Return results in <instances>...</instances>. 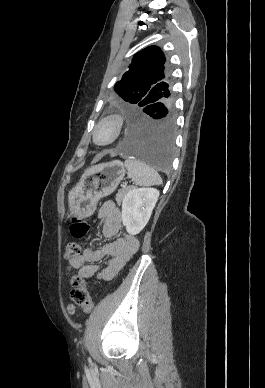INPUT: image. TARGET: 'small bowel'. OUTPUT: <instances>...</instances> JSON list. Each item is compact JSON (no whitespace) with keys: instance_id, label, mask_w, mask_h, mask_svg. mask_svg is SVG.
Instances as JSON below:
<instances>
[{"instance_id":"c3829d8e","label":"small bowel","mask_w":265,"mask_h":388,"mask_svg":"<svg viewBox=\"0 0 265 388\" xmlns=\"http://www.w3.org/2000/svg\"><path fill=\"white\" fill-rule=\"evenodd\" d=\"M98 217L103 220V236L114 240L100 247H88L79 256L69 260L65 268L67 277L78 270L82 278L97 276L100 280L110 281L137 252L139 241L134 235L117 237L122 226V216L115 202H104L98 210ZM105 257L109 260L104 265L97 264ZM69 312H74L73 306L69 307Z\"/></svg>"}]
</instances>
